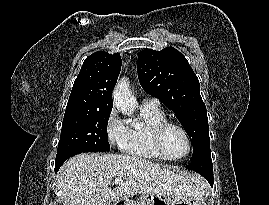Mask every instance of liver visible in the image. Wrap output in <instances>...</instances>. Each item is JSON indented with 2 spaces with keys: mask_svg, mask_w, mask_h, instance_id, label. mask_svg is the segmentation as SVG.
Listing matches in <instances>:
<instances>
[{
  "mask_svg": "<svg viewBox=\"0 0 269 205\" xmlns=\"http://www.w3.org/2000/svg\"><path fill=\"white\" fill-rule=\"evenodd\" d=\"M122 182L111 189L114 179ZM65 205H110L135 194L163 197L203 195L204 180L175 173L146 159L121 154L82 153L66 161L57 175Z\"/></svg>",
  "mask_w": 269,
  "mask_h": 205,
  "instance_id": "liver-1",
  "label": "liver"
}]
</instances>
